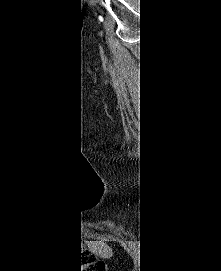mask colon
I'll return each mask as SVG.
<instances>
[{"label": "colon", "instance_id": "1", "mask_svg": "<svg viewBox=\"0 0 221 271\" xmlns=\"http://www.w3.org/2000/svg\"><path fill=\"white\" fill-rule=\"evenodd\" d=\"M78 271H106L105 265L94 255L84 254L77 259Z\"/></svg>", "mask_w": 221, "mask_h": 271}]
</instances>
